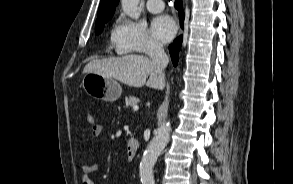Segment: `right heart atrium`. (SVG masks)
I'll list each match as a JSON object with an SVG mask.
<instances>
[{"instance_id":"1","label":"right heart atrium","mask_w":293,"mask_h":184,"mask_svg":"<svg viewBox=\"0 0 293 184\" xmlns=\"http://www.w3.org/2000/svg\"><path fill=\"white\" fill-rule=\"evenodd\" d=\"M113 45L117 53H140L153 55L162 51V46L148 33L146 26L125 16L116 20Z\"/></svg>"}]
</instances>
